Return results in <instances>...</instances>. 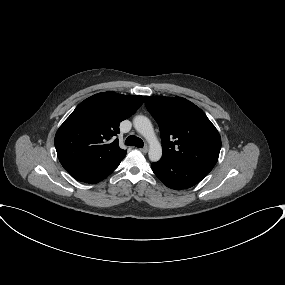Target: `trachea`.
Listing matches in <instances>:
<instances>
[{
    "instance_id": "trachea-1",
    "label": "trachea",
    "mask_w": 285,
    "mask_h": 285,
    "mask_svg": "<svg viewBox=\"0 0 285 285\" xmlns=\"http://www.w3.org/2000/svg\"><path fill=\"white\" fill-rule=\"evenodd\" d=\"M125 145L142 148L144 146V143L141 138L131 135L125 140Z\"/></svg>"
}]
</instances>
